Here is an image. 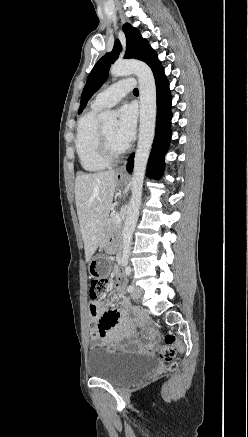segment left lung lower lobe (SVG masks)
Returning <instances> with one entry per match:
<instances>
[{"mask_svg": "<svg viewBox=\"0 0 248 437\" xmlns=\"http://www.w3.org/2000/svg\"><path fill=\"white\" fill-rule=\"evenodd\" d=\"M154 74L157 91V120L156 136L153 143V150L148 163V175L153 178H159L163 172L164 156L171 139V94L169 83L164 74L163 67ZM134 154L129 157L127 171L133 169Z\"/></svg>", "mask_w": 248, "mask_h": 437, "instance_id": "1", "label": "left lung lower lobe"}]
</instances>
